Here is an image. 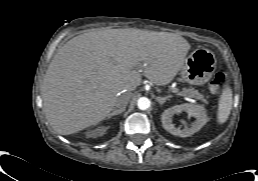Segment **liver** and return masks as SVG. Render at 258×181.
<instances>
[{
    "label": "liver",
    "mask_w": 258,
    "mask_h": 181,
    "mask_svg": "<svg viewBox=\"0 0 258 181\" xmlns=\"http://www.w3.org/2000/svg\"><path fill=\"white\" fill-rule=\"evenodd\" d=\"M190 49L181 36L140 29H104L66 42L50 62L41 85L43 109L61 135L77 133L105 119L117 98L131 93L143 75L170 83Z\"/></svg>",
    "instance_id": "liver-1"
}]
</instances>
